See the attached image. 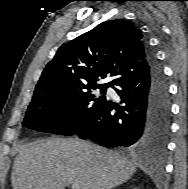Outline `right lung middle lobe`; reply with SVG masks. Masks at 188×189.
<instances>
[{
  "label": "right lung middle lobe",
  "instance_id": "1",
  "mask_svg": "<svg viewBox=\"0 0 188 189\" xmlns=\"http://www.w3.org/2000/svg\"><path fill=\"white\" fill-rule=\"evenodd\" d=\"M106 87L80 90L59 89L34 94L23 126L59 135H73L88 123L106 100ZM39 107H42L41 109Z\"/></svg>",
  "mask_w": 188,
  "mask_h": 189
}]
</instances>
